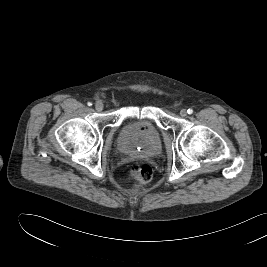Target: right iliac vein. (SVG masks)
Returning <instances> with one entry per match:
<instances>
[{
	"label": "right iliac vein",
	"mask_w": 267,
	"mask_h": 267,
	"mask_svg": "<svg viewBox=\"0 0 267 267\" xmlns=\"http://www.w3.org/2000/svg\"><path fill=\"white\" fill-rule=\"evenodd\" d=\"M103 108H104V105H103L102 102L98 101V102L95 103V109H96L98 112L102 111Z\"/></svg>",
	"instance_id": "obj_1"
}]
</instances>
